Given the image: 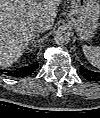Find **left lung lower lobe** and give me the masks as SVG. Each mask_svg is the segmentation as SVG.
<instances>
[{
    "label": "left lung lower lobe",
    "mask_w": 100,
    "mask_h": 118,
    "mask_svg": "<svg viewBox=\"0 0 100 118\" xmlns=\"http://www.w3.org/2000/svg\"><path fill=\"white\" fill-rule=\"evenodd\" d=\"M80 73L88 81H99L100 80V73L85 69L83 66H81V68H80Z\"/></svg>",
    "instance_id": "0a47b994"
}]
</instances>
